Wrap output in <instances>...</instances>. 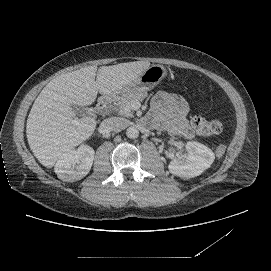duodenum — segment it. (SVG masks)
<instances>
[{"label": "duodenum", "mask_w": 271, "mask_h": 271, "mask_svg": "<svg viewBox=\"0 0 271 271\" xmlns=\"http://www.w3.org/2000/svg\"><path fill=\"white\" fill-rule=\"evenodd\" d=\"M111 100V96L110 95H104L99 99V103L101 105H106L109 101Z\"/></svg>", "instance_id": "obj_1"}]
</instances>
